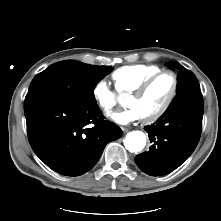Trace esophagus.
<instances>
[{
	"instance_id": "esophagus-1",
	"label": "esophagus",
	"mask_w": 221,
	"mask_h": 221,
	"mask_svg": "<svg viewBox=\"0 0 221 221\" xmlns=\"http://www.w3.org/2000/svg\"><path fill=\"white\" fill-rule=\"evenodd\" d=\"M122 130L124 133H127L129 129L127 127H122Z\"/></svg>"
}]
</instances>
